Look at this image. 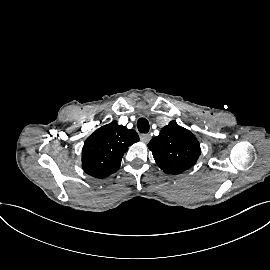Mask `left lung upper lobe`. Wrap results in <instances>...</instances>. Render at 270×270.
<instances>
[{
	"label": "left lung upper lobe",
	"instance_id": "left-lung-upper-lobe-1",
	"mask_svg": "<svg viewBox=\"0 0 270 270\" xmlns=\"http://www.w3.org/2000/svg\"><path fill=\"white\" fill-rule=\"evenodd\" d=\"M148 148L158 166L170 174H179L192 167L201 153L197 138L175 121L163 127Z\"/></svg>",
	"mask_w": 270,
	"mask_h": 270
}]
</instances>
